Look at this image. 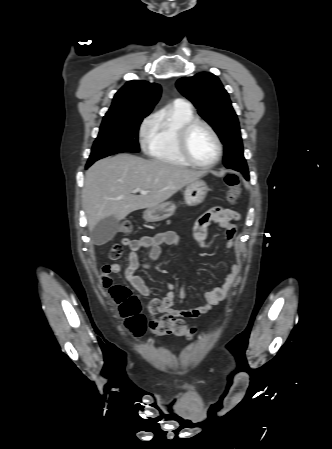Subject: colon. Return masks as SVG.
Returning <instances> with one entry per match:
<instances>
[{
  "label": "colon",
  "instance_id": "1",
  "mask_svg": "<svg viewBox=\"0 0 332 449\" xmlns=\"http://www.w3.org/2000/svg\"><path fill=\"white\" fill-rule=\"evenodd\" d=\"M224 183L227 187L226 200L234 204L240 197V180L234 173L228 172L224 176ZM133 224L130 221L122 222L120 231L130 234ZM123 253V243L113 244L109 250V258L117 260ZM110 293L121 309L122 316L126 320V325L135 335H141L146 327V320L141 313L140 304L137 297L130 289L124 285H113ZM151 331L157 336H179L191 338L195 333V328L188 326L182 319L171 315H163L158 319H152L148 323Z\"/></svg>",
  "mask_w": 332,
  "mask_h": 449
}]
</instances>
